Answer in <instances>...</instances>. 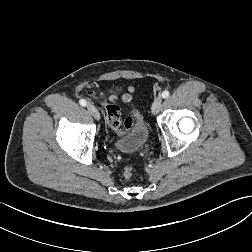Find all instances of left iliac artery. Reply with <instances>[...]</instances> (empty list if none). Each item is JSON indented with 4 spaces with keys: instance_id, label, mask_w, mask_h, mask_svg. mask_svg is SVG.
I'll use <instances>...</instances> for the list:
<instances>
[{
    "instance_id": "obj_1",
    "label": "left iliac artery",
    "mask_w": 252,
    "mask_h": 252,
    "mask_svg": "<svg viewBox=\"0 0 252 252\" xmlns=\"http://www.w3.org/2000/svg\"><path fill=\"white\" fill-rule=\"evenodd\" d=\"M169 91H167V90H165V91H163V93H162V97L163 98H167L168 96H169Z\"/></svg>"
}]
</instances>
